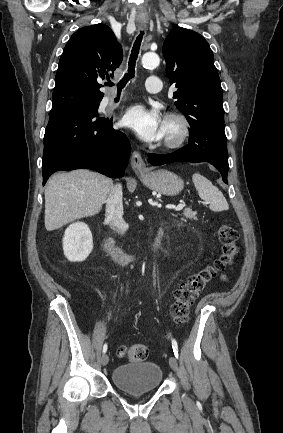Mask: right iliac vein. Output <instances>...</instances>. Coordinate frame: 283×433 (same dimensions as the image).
I'll return each instance as SVG.
<instances>
[{
	"label": "right iliac vein",
	"instance_id": "1",
	"mask_svg": "<svg viewBox=\"0 0 283 433\" xmlns=\"http://www.w3.org/2000/svg\"><path fill=\"white\" fill-rule=\"evenodd\" d=\"M101 364L103 366H106L108 364V356L106 354L102 355V357H101Z\"/></svg>",
	"mask_w": 283,
	"mask_h": 433
}]
</instances>
